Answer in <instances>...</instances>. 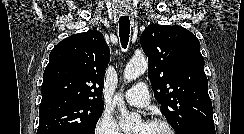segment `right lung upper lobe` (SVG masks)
Masks as SVG:
<instances>
[{
    "label": "right lung upper lobe",
    "mask_w": 244,
    "mask_h": 134,
    "mask_svg": "<svg viewBox=\"0 0 244 134\" xmlns=\"http://www.w3.org/2000/svg\"><path fill=\"white\" fill-rule=\"evenodd\" d=\"M110 51L97 30L65 38L50 52L43 74L42 100L66 98L103 104L104 72Z\"/></svg>",
    "instance_id": "cb5924a9"
}]
</instances>
